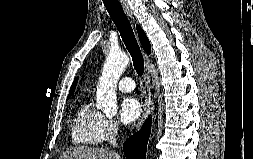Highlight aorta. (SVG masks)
I'll list each match as a JSON object with an SVG mask.
<instances>
[{"instance_id":"762f6f07","label":"aorta","mask_w":253,"mask_h":159,"mask_svg":"<svg viewBox=\"0 0 253 159\" xmlns=\"http://www.w3.org/2000/svg\"><path fill=\"white\" fill-rule=\"evenodd\" d=\"M128 64V55L121 51H110L106 58L96 92V106L106 114L117 112V82Z\"/></svg>"}]
</instances>
